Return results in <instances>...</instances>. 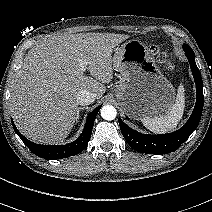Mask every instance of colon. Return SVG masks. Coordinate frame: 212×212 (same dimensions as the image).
Wrapping results in <instances>:
<instances>
[{
	"label": "colon",
	"instance_id": "colon-1",
	"mask_svg": "<svg viewBox=\"0 0 212 212\" xmlns=\"http://www.w3.org/2000/svg\"><path fill=\"white\" fill-rule=\"evenodd\" d=\"M150 52L153 56H155L158 59L160 63L164 64L168 70L173 69V64L171 60L169 59V57L165 52L161 51L159 47L151 46Z\"/></svg>",
	"mask_w": 212,
	"mask_h": 212
}]
</instances>
